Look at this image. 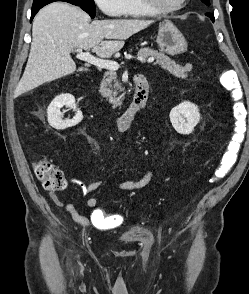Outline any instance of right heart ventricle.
I'll return each mask as SVG.
<instances>
[{
  "mask_svg": "<svg viewBox=\"0 0 249 294\" xmlns=\"http://www.w3.org/2000/svg\"><path fill=\"white\" fill-rule=\"evenodd\" d=\"M121 16L145 17L153 15L142 3L141 0H121Z\"/></svg>",
  "mask_w": 249,
  "mask_h": 294,
  "instance_id": "e07e8e85",
  "label": "right heart ventricle"
}]
</instances>
